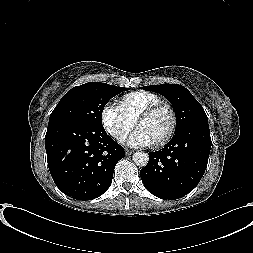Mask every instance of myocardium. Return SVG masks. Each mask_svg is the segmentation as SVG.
Returning <instances> with one entry per match:
<instances>
[{
  "mask_svg": "<svg viewBox=\"0 0 253 253\" xmlns=\"http://www.w3.org/2000/svg\"><path fill=\"white\" fill-rule=\"evenodd\" d=\"M162 109H166L169 112L171 121H170V126L167 132L165 133V135L155 143V146L157 147L163 146L166 143H168L176 131L177 114H176L175 109L169 103L161 101L159 103L153 104L145 108L143 111L139 113L138 117L136 118V125H138V122L141 119L150 117Z\"/></svg>",
  "mask_w": 253,
  "mask_h": 253,
  "instance_id": "obj_1",
  "label": "myocardium"
}]
</instances>
